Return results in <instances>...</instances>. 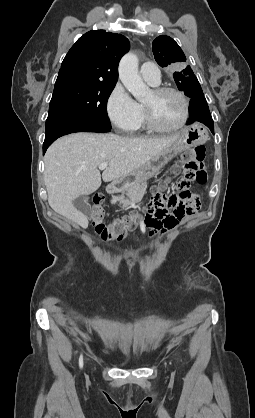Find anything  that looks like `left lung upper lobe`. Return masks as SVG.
Instances as JSON below:
<instances>
[{
  "mask_svg": "<svg viewBox=\"0 0 255 418\" xmlns=\"http://www.w3.org/2000/svg\"><path fill=\"white\" fill-rule=\"evenodd\" d=\"M152 49L156 62L161 67L172 65L177 67L173 78L179 88L189 98L204 97L202 88L190 66L181 70L186 57L178 44L169 36L161 35L152 43Z\"/></svg>",
  "mask_w": 255,
  "mask_h": 418,
  "instance_id": "5c2ea615",
  "label": "left lung upper lobe"
}]
</instances>
